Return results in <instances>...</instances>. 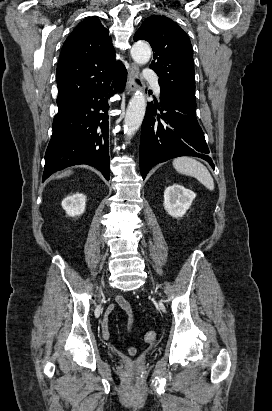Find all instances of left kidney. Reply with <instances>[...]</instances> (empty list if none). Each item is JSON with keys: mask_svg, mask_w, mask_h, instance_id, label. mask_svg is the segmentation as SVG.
I'll return each instance as SVG.
<instances>
[{"mask_svg": "<svg viewBox=\"0 0 272 411\" xmlns=\"http://www.w3.org/2000/svg\"><path fill=\"white\" fill-rule=\"evenodd\" d=\"M196 195L179 184H173L164 191V208L174 218L182 217L191 206Z\"/></svg>", "mask_w": 272, "mask_h": 411, "instance_id": "left-kidney-1", "label": "left kidney"}]
</instances>
